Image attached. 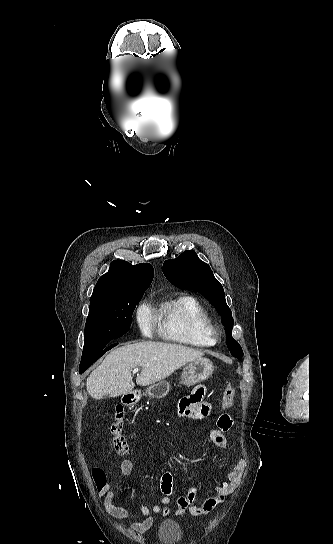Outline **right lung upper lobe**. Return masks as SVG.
<instances>
[{
  "mask_svg": "<svg viewBox=\"0 0 333 544\" xmlns=\"http://www.w3.org/2000/svg\"><path fill=\"white\" fill-rule=\"evenodd\" d=\"M154 275L150 264L131 265L123 260L111 262L109 271L96 283L90 302L130 296L145 291Z\"/></svg>",
  "mask_w": 333,
  "mask_h": 544,
  "instance_id": "cb5924a9",
  "label": "right lung upper lobe"
}]
</instances>
